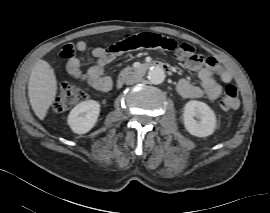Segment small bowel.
Returning a JSON list of instances; mask_svg holds the SVG:
<instances>
[{"mask_svg":"<svg viewBox=\"0 0 270 213\" xmlns=\"http://www.w3.org/2000/svg\"><path fill=\"white\" fill-rule=\"evenodd\" d=\"M87 43L79 41L76 44H66L60 50V55L67 61L66 70L74 78L91 85L99 92H107L112 88L113 80L105 73L104 66L112 62L122 51L108 52L105 43H100L91 51V59L95 62L82 71V60L77 57L76 52L86 51ZM190 52L183 53L186 60V67L197 74L200 85H196L187 79H181L178 83L179 94L188 99H196L206 96L209 99H216L222 93L224 84L232 81L230 71L225 69L215 59H210L207 64L196 63L191 60V53L196 52L191 46ZM168 71H172L171 66H167ZM218 77V80L214 78Z\"/></svg>","mask_w":270,"mask_h":213,"instance_id":"1","label":"small bowel"}]
</instances>
